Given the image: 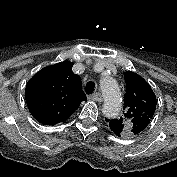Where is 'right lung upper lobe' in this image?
Masks as SVG:
<instances>
[{"instance_id": "obj_1", "label": "right lung upper lobe", "mask_w": 177, "mask_h": 177, "mask_svg": "<svg viewBox=\"0 0 177 177\" xmlns=\"http://www.w3.org/2000/svg\"><path fill=\"white\" fill-rule=\"evenodd\" d=\"M73 63L63 61L43 68L27 83L25 98L32 116L43 125L67 120L86 95L81 78L72 72Z\"/></svg>"}]
</instances>
